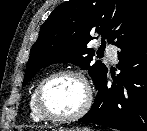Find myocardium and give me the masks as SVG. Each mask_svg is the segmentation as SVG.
Here are the masks:
<instances>
[{
  "instance_id": "f54148a6",
  "label": "myocardium",
  "mask_w": 147,
  "mask_h": 131,
  "mask_svg": "<svg viewBox=\"0 0 147 131\" xmlns=\"http://www.w3.org/2000/svg\"><path fill=\"white\" fill-rule=\"evenodd\" d=\"M65 76H72L78 78L84 85L86 89V101L82 108L77 111L76 113H73L71 115H58L52 113L46 106L44 101V93L47 88V86L54 81L57 78L65 77ZM93 102V94L92 89L89 84L88 79L86 76L79 70L76 69H64L60 71H56L54 73H51L50 75L46 76L38 85L35 93V103L36 107L41 114V116L49 121L53 122H71L80 119L83 117L91 108Z\"/></svg>"
}]
</instances>
